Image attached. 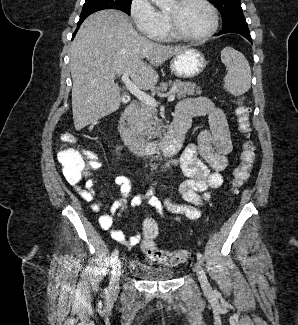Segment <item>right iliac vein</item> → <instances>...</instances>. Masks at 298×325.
Instances as JSON below:
<instances>
[{
    "label": "right iliac vein",
    "mask_w": 298,
    "mask_h": 325,
    "mask_svg": "<svg viewBox=\"0 0 298 325\" xmlns=\"http://www.w3.org/2000/svg\"><path fill=\"white\" fill-rule=\"evenodd\" d=\"M120 274H121V263L119 260H117L113 267L112 276L109 283V292L112 295L118 292Z\"/></svg>",
    "instance_id": "obj_1"
}]
</instances>
